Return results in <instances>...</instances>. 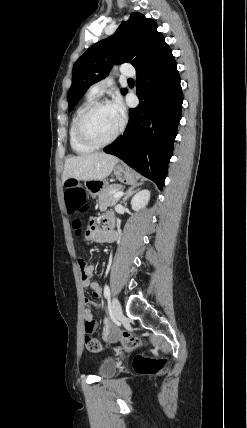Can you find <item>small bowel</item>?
<instances>
[{
	"label": "small bowel",
	"mask_w": 247,
	"mask_h": 428,
	"mask_svg": "<svg viewBox=\"0 0 247 428\" xmlns=\"http://www.w3.org/2000/svg\"><path fill=\"white\" fill-rule=\"evenodd\" d=\"M102 221H103V224L106 221L111 222L112 221L111 216L110 215L103 216ZM86 238L89 241L106 242V241L112 240L114 238V234L111 231V226L108 230H105L104 227L103 228H92L86 234ZM79 266H80V271H81L82 285L86 288H90L92 290V294L94 297H96V298L101 297V295H102L101 286L97 282L92 281V275H93V272L95 269L94 265H87V264L83 263L82 265L79 264ZM84 300H90V299L86 298ZM95 306L84 305V320L87 317H90V318H92V320H95L94 316L92 314V311H91V308L95 307Z\"/></svg>",
	"instance_id": "1"
}]
</instances>
